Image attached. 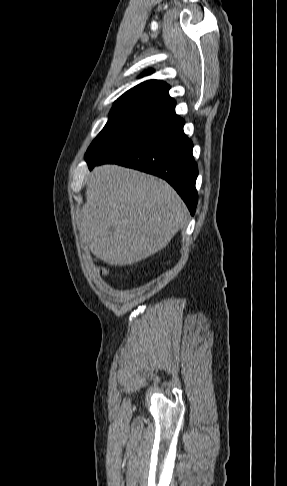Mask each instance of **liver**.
Segmentation results:
<instances>
[{
	"mask_svg": "<svg viewBox=\"0 0 287 486\" xmlns=\"http://www.w3.org/2000/svg\"><path fill=\"white\" fill-rule=\"evenodd\" d=\"M78 228L91 252L126 266L163 249L183 228L188 210L164 180L118 165L91 173Z\"/></svg>",
	"mask_w": 287,
	"mask_h": 486,
	"instance_id": "liver-1",
	"label": "liver"
}]
</instances>
